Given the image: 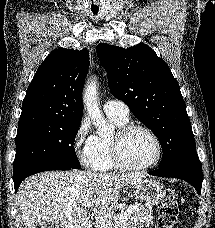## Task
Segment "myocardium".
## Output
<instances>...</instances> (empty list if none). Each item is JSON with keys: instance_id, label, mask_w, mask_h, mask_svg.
I'll return each instance as SVG.
<instances>
[{"instance_id": "obj_1", "label": "myocardium", "mask_w": 215, "mask_h": 228, "mask_svg": "<svg viewBox=\"0 0 215 228\" xmlns=\"http://www.w3.org/2000/svg\"><path fill=\"white\" fill-rule=\"evenodd\" d=\"M134 129H141L146 133H148V135L151 137L155 146L154 157L150 161L138 166H133L128 164L124 160L122 151H121V146L124 139ZM111 152H112L114 163L118 168L126 171H142L152 167L153 165L157 164L160 161L162 156V145L157 134L149 126L142 123L130 122L118 128V130L112 137Z\"/></svg>"}]
</instances>
